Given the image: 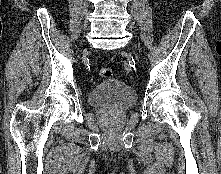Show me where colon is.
<instances>
[{
	"mask_svg": "<svg viewBox=\"0 0 221 174\" xmlns=\"http://www.w3.org/2000/svg\"><path fill=\"white\" fill-rule=\"evenodd\" d=\"M99 75L102 78H111L112 77V71H111V69L104 67V68L100 69Z\"/></svg>",
	"mask_w": 221,
	"mask_h": 174,
	"instance_id": "obj_1",
	"label": "colon"
}]
</instances>
